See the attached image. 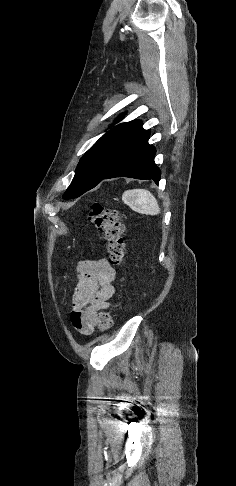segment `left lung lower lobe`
Wrapping results in <instances>:
<instances>
[{
	"instance_id": "1",
	"label": "left lung lower lobe",
	"mask_w": 236,
	"mask_h": 486,
	"mask_svg": "<svg viewBox=\"0 0 236 486\" xmlns=\"http://www.w3.org/2000/svg\"><path fill=\"white\" fill-rule=\"evenodd\" d=\"M149 131H145L131 145L103 179L130 177L136 179L160 180L161 172L155 165V148L148 143Z\"/></svg>"
}]
</instances>
